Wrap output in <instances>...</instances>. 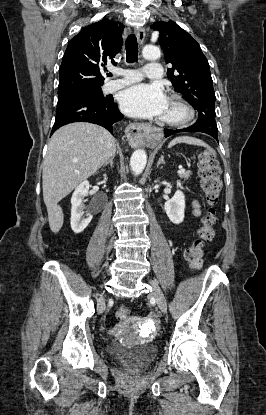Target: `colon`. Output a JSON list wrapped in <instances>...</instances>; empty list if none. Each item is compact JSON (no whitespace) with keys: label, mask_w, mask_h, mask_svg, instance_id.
Returning <instances> with one entry per match:
<instances>
[{"label":"colon","mask_w":266,"mask_h":415,"mask_svg":"<svg viewBox=\"0 0 266 415\" xmlns=\"http://www.w3.org/2000/svg\"><path fill=\"white\" fill-rule=\"evenodd\" d=\"M198 173L208 209L201 219V226L196 237L193 238L191 244L185 250V259L193 269H200L203 266V247L206 242L211 241L214 237L213 226L216 222L214 206L222 190L220 168L208 150L199 153ZM129 316L130 310L125 306H121L116 310V317L120 320L127 319Z\"/></svg>","instance_id":"5ec220e1"}]
</instances>
